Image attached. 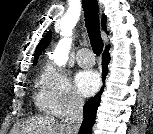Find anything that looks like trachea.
I'll list each match as a JSON object with an SVG mask.
<instances>
[{"label":"trachea","instance_id":"obj_1","mask_svg":"<svg viewBox=\"0 0 153 134\" xmlns=\"http://www.w3.org/2000/svg\"><path fill=\"white\" fill-rule=\"evenodd\" d=\"M85 26L94 53L99 56L103 50V41L100 34L99 7L97 0H82Z\"/></svg>","mask_w":153,"mask_h":134}]
</instances>
